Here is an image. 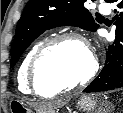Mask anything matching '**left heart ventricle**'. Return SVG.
Instances as JSON below:
<instances>
[{"instance_id":"b2bd125f","label":"left heart ventricle","mask_w":123,"mask_h":113,"mask_svg":"<svg viewBox=\"0 0 123 113\" xmlns=\"http://www.w3.org/2000/svg\"><path fill=\"white\" fill-rule=\"evenodd\" d=\"M90 65V57L82 45L74 41H64L41 59L38 79L44 89L69 85L84 77Z\"/></svg>"}]
</instances>
